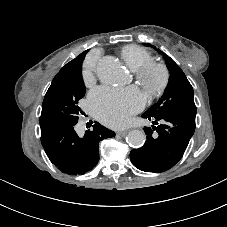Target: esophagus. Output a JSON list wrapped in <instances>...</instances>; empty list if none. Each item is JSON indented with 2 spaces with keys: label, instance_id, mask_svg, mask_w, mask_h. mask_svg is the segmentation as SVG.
Masks as SVG:
<instances>
[{
  "label": "esophagus",
  "instance_id": "34e87169",
  "mask_svg": "<svg viewBox=\"0 0 227 227\" xmlns=\"http://www.w3.org/2000/svg\"><path fill=\"white\" fill-rule=\"evenodd\" d=\"M126 134H127V130H121L117 132V135H120V136H125Z\"/></svg>",
  "mask_w": 227,
  "mask_h": 227
}]
</instances>
